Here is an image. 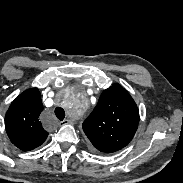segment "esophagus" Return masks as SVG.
<instances>
[{
  "instance_id": "1",
  "label": "esophagus",
  "mask_w": 183,
  "mask_h": 183,
  "mask_svg": "<svg viewBox=\"0 0 183 183\" xmlns=\"http://www.w3.org/2000/svg\"><path fill=\"white\" fill-rule=\"evenodd\" d=\"M70 123H71V121L68 120V119H65V120H63V121L61 122L62 125H67V124H70Z\"/></svg>"
}]
</instances>
